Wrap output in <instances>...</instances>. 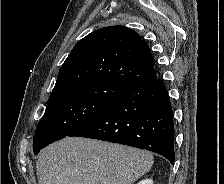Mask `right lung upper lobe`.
Masks as SVG:
<instances>
[{
    "label": "right lung upper lobe",
    "mask_w": 224,
    "mask_h": 184,
    "mask_svg": "<svg viewBox=\"0 0 224 184\" xmlns=\"http://www.w3.org/2000/svg\"><path fill=\"white\" fill-rule=\"evenodd\" d=\"M155 78L148 44L130 28L109 26L88 34L73 47L50 96L86 81L104 80L131 87Z\"/></svg>",
    "instance_id": "1"
}]
</instances>
